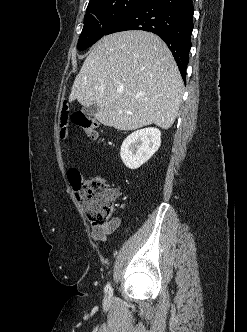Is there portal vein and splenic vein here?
I'll return each mask as SVG.
<instances>
[{"mask_svg": "<svg viewBox=\"0 0 247 332\" xmlns=\"http://www.w3.org/2000/svg\"><path fill=\"white\" fill-rule=\"evenodd\" d=\"M122 92H123V90H122V89H119V90H118V93H122Z\"/></svg>", "mask_w": 247, "mask_h": 332, "instance_id": "obj_1", "label": "portal vein and splenic vein"}]
</instances>
